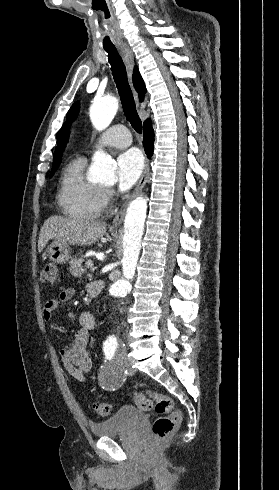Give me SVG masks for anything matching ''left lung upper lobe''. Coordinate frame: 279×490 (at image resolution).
I'll use <instances>...</instances> for the list:
<instances>
[{"instance_id":"left-lung-upper-lobe-1","label":"left lung upper lobe","mask_w":279,"mask_h":490,"mask_svg":"<svg viewBox=\"0 0 279 490\" xmlns=\"http://www.w3.org/2000/svg\"><path fill=\"white\" fill-rule=\"evenodd\" d=\"M78 109H79V105L78 103H75L67 113V117L74 118L77 115Z\"/></svg>"}]
</instances>
